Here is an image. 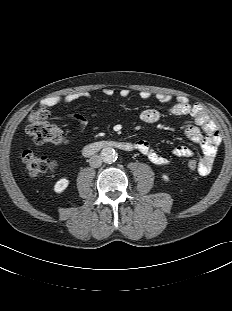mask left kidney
<instances>
[{"instance_id": "1", "label": "left kidney", "mask_w": 232, "mask_h": 311, "mask_svg": "<svg viewBox=\"0 0 232 311\" xmlns=\"http://www.w3.org/2000/svg\"><path fill=\"white\" fill-rule=\"evenodd\" d=\"M162 178H163L164 181H168L169 180V178H168V176L166 174H163Z\"/></svg>"}]
</instances>
